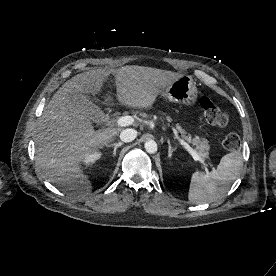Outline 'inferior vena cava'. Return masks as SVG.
Instances as JSON below:
<instances>
[{"mask_svg":"<svg viewBox=\"0 0 276 276\" xmlns=\"http://www.w3.org/2000/svg\"><path fill=\"white\" fill-rule=\"evenodd\" d=\"M137 137V131L135 129H123L120 133V139L123 142H132Z\"/></svg>","mask_w":276,"mask_h":276,"instance_id":"inferior-vena-cava-1","label":"inferior vena cava"}]
</instances>
